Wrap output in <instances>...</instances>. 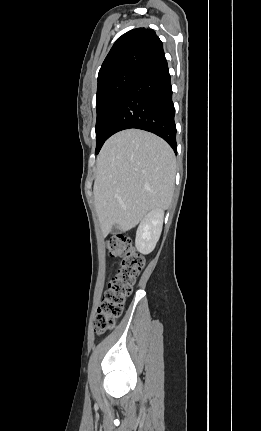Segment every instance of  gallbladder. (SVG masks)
I'll list each match as a JSON object with an SVG mask.
<instances>
[{
  "label": "gallbladder",
  "mask_w": 261,
  "mask_h": 431,
  "mask_svg": "<svg viewBox=\"0 0 261 431\" xmlns=\"http://www.w3.org/2000/svg\"><path fill=\"white\" fill-rule=\"evenodd\" d=\"M120 230H118L115 226L113 227V229H112V233L113 234H116V233H118Z\"/></svg>",
  "instance_id": "bac80fb5"
}]
</instances>
